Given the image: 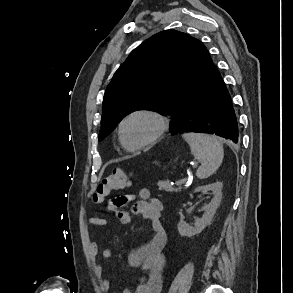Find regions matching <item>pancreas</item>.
<instances>
[{"mask_svg": "<svg viewBox=\"0 0 293 293\" xmlns=\"http://www.w3.org/2000/svg\"><path fill=\"white\" fill-rule=\"evenodd\" d=\"M159 190H165L166 192H181L182 191V187H175L173 185L170 184L169 180H164V181H159L157 183Z\"/></svg>", "mask_w": 293, "mask_h": 293, "instance_id": "cf45deb5", "label": "pancreas"}]
</instances>
